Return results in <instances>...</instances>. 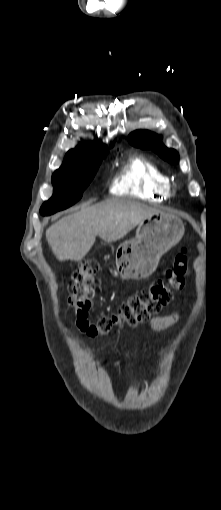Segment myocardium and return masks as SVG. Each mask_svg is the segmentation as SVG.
I'll use <instances>...</instances> for the list:
<instances>
[{
    "instance_id": "f54148a6",
    "label": "myocardium",
    "mask_w": 221,
    "mask_h": 510,
    "mask_svg": "<svg viewBox=\"0 0 221 510\" xmlns=\"http://www.w3.org/2000/svg\"><path fill=\"white\" fill-rule=\"evenodd\" d=\"M169 193H171L170 186H169Z\"/></svg>"
}]
</instances>
